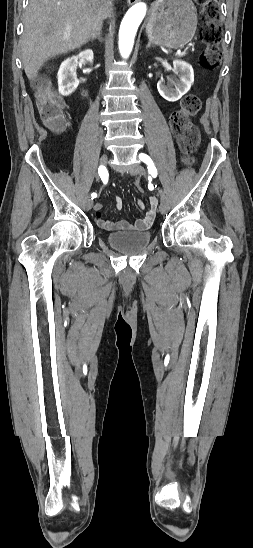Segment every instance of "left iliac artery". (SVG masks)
Masks as SVG:
<instances>
[{
  "instance_id": "44dca946",
  "label": "left iliac artery",
  "mask_w": 253,
  "mask_h": 548,
  "mask_svg": "<svg viewBox=\"0 0 253 548\" xmlns=\"http://www.w3.org/2000/svg\"><path fill=\"white\" fill-rule=\"evenodd\" d=\"M139 158H140L145 164H147L149 173H150L153 177H156V176H157V169L155 168V166H154L153 161L151 160V158H150L147 154H144V153H141V154L139 155Z\"/></svg>"
}]
</instances>
